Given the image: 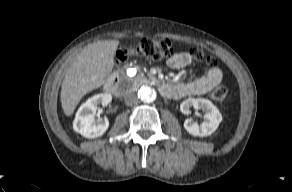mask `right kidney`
<instances>
[{"instance_id":"1","label":"right kidney","mask_w":292,"mask_h":192,"mask_svg":"<svg viewBox=\"0 0 292 192\" xmlns=\"http://www.w3.org/2000/svg\"><path fill=\"white\" fill-rule=\"evenodd\" d=\"M111 100L110 94H97L89 98L78 109L73 129L86 138L102 136L109 127V121L107 118L95 120V112L99 104L106 106Z\"/></svg>"}]
</instances>
